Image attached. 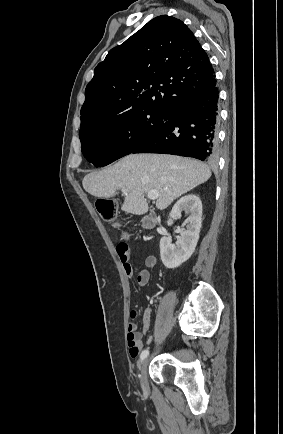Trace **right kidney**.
I'll return each mask as SVG.
<instances>
[{"label": "right kidney", "instance_id": "obj_1", "mask_svg": "<svg viewBox=\"0 0 283 434\" xmlns=\"http://www.w3.org/2000/svg\"><path fill=\"white\" fill-rule=\"evenodd\" d=\"M185 211L189 217L186 219V229L182 231L181 237L175 244L171 243V238L164 236L160 240L161 260L166 268L174 269L187 261L194 253L202 223V202L194 194L180 198L173 206L167 224H173V220L181 217V212Z\"/></svg>", "mask_w": 283, "mask_h": 434}]
</instances>
